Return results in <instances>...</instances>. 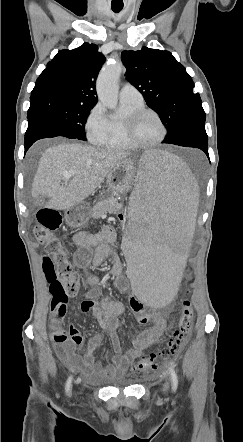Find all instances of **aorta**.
Returning a JSON list of instances; mask_svg holds the SVG:
<instances>
[{"instance_id": "obj_1", "label": "aorta", "mask_w": 243, "mask_h": 442, "mask_svg": "<svg viewBox=\"0 0 243 442\" xmlns=\"http://www.w3.org/2000/svg\"><path fill=\"white\" fill-rule=\"evenodd\" d=\"M122 72V64L112 61L104 67L96 82L99 100L109 108H115L118 96V80Z\"/></svg>"}]
</instances>
